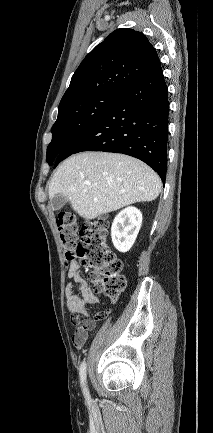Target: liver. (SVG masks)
<instances>
[{"instance_id": "obj_1", "label": "liver", "mask_w": 213, "mask_h": 433, "mask_svg": "<svg viewBox=\"0 0 213 433\" xmlns=\"http://www.w3.org/2000/svg\"><path fill=\"white\" fill-rule=\"evenodd\" d=\"M160 192L161 180L148 165L106 152H84L66 159L49 184L50 200L62 194L87 220L136 202L153 201Z\"/></svg>"}]
</instances>
